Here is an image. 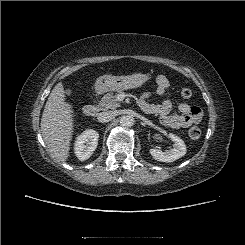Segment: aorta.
<instances>
[{"instance_id": "aorta-1", "label": "aorta", "mask_w": 245, "mask_h": 245, "mask_svg": "<svg viewBox=\"0 0 245 245\" xmlns=\"http://www.w3.org/2000/svg\"><path fill=\"white\" fill-rule=\"evenodd\" d=\"M120 124L123 127H131L134 124V118L132 116H124L120 119Z\"/></svg>"}]
</instances>
